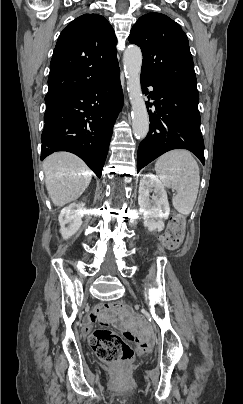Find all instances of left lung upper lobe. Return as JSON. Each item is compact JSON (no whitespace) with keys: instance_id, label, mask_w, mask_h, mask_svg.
I'll return each instance as SVG.
<instances>
[{"instance_id":"obj_1","label":"left lung upper lobe","mask_w":243,"mask_h":404,"mask_svg":"<svg viewBox=\"0 0 243 404\" xmlns=\"http://www.w3.org/2000/svg\"><path fill=\"white\" fill-rule=\"evenodd\" d=\"M128 39L142 50V77L197 88L188 38L168 16L155 12L143 15Z\"/></svg>"}]
</instances>
